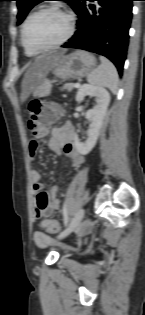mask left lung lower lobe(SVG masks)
Segmentation results:
<instances>
[{
  "label": "left lung lower lobe",
  "instance_id": "1",
  "mask_svg": "<svg viewBox=\"0 0 145 315\" xmlns=\"http://www.w3.org/2000/svg\"><path fill=\"white\" fill-rule=\"evenodd\" d=\"M85 1H94L86 7ZM134 0H79L77 31L64 48H78L110 59L120 75L127 55Z\"/></svg>",
  "mask_w": 145,
  "mask_h": 315
}]
</instances>
